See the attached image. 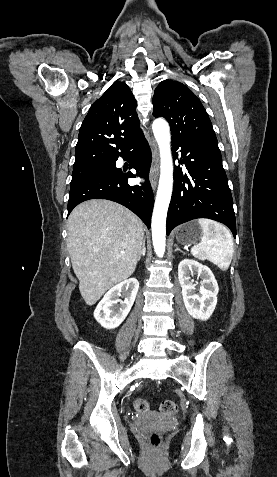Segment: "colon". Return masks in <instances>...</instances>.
Returning <instances> with one entry per match:
<instances>
[{"label": "colon", "instance_id": "obj_1", "mask_svg": "<svg viewBox=\"0 0 277 477\" xmlns=\"http://www.w3.org/2000/svg\"><path fill=\"white\" fill-rule=\"evenodd\" d=\"M134 408L141 413H146L150 410V403L143 398H138L134 401ZM178 409L176 402L172 400L163 401L160 405V411L163 414L171 415L174 414ZM161 435L157 432H151L148 435V442L151 447L158 448L161 445Z\"/></svg>", "mask_w": 277, "mask_h": 477}]
</instances>
